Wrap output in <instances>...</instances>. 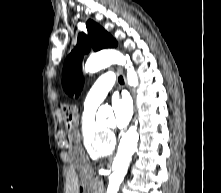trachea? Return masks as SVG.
Returning a JSON list of instances; mask_svg holds the SVG:
<instances>
[{
	"label": "trachea",
	"instance_id": "3493384b",
	"mask_svg": "<svg viewBox=\"0 0 221 193\" xmlns=\"http://www.w3.org/2000/svg\"><path fill=\"white\" fill-rule=\"evenodd\" d=\"M118 82H119L120 84H123V83H124V80H123V77H122V76H119V77H118Z\"/></svg>",
	"mask_w": 221,
	"mask_h": 193
}]
</instances>
